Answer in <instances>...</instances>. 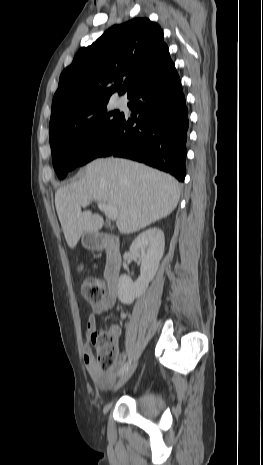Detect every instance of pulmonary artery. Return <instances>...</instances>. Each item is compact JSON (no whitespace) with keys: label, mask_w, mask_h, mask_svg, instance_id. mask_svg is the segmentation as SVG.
Listing matches in <instances>:
<instances>
[{"label":"pulmonary artery","mask_w":263,"mask_h":465,"mask_svg":"<svg viewBox=\"0 0 263 465\" xmlns=\"http://www.w3.org/2000/svg\"><path fill=\"white\" fill-rule=\"evenodd\" d=\"M117 104H118V105H122V102H121V101H118V103H117Z\"/></svg>","instance_id":"pulmonary-artery-1"}]
</instances>
